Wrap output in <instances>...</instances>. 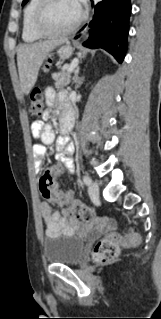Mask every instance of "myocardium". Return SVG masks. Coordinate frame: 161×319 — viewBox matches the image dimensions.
<instances>
[{"label": "myocardium", "mask_w": 161, "mask_h": 319, "mask_svg": "<svg viewBox=\"0 0 161 319\" xmlns=\"http://www.w3.org/2000/svg\"><path fill=\"white\" fill-rule=\"evenodd\" d=\"M53 1L54 0H41L36 10V13L34 15L33 29L41 37L55 38V37H62V36L69 35L79 27V25L82 23V21L84 20L86 16L85 9L83 8L81 4H79V7H80L79 14L72 24H70L68 27L62 30H58V31L48 30L43 24V19H44L46 11L50 7V5L53 3Z\"/></svg>", "instance_id": "1"}]
</instances>
